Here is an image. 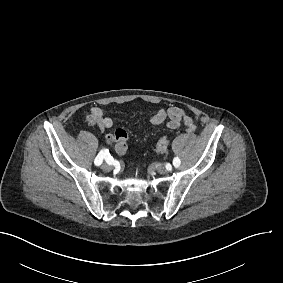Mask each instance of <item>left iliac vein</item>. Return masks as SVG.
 Returning <instances> with one entry per match:
<instances>
[{
    "instance_id": "left-iliac-vein-1",
    "label": "left iliac vein",
    "mask_w": 283,
    "mask_h": 283,
    "mask_svg": "<svg viewBox=\"0 0 283 283\" xmlns=\"http://www.w3.org/2000/svg\"><path fill=\"white\" fill-rule=\"evenodd\" d=\"M157 171L160 172V173H164L167 170L164 168V166L160 165V166L157 167Z\"/></svg>"
}]
</instances>
